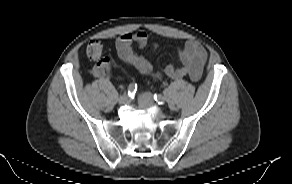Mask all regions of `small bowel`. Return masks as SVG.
<instances>
[{
    "instance_id": "1",
    "label": "small bowel",
    "mask_w": 292,
    "mask_h": 184,
    "mask_svg": "<svg viewBox=\"0 0 292 184\" xmlns=\"http://www.w3.org/2000/svg\"><path fill=\"white\" fill-rule=\"evenodd\" d=\"M148 35L144 31L124 33L116 40V50L120 59L132 66L140 73L159 78L161 75L153 74L151 64L134 50V45L144 47L147 44ZM179 59L182 66L169 64L164 69V74L173 79H181L189 76L193 81H198L203 72L207 60L205 48L195 41H188L179 51ZM92 75L98 79H106L112 75V61L110 58L98 60L92 67Z\"/></svg>"
}]
</instances>
